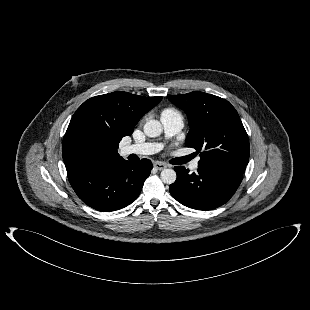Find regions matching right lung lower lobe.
<instances>
[{
  "instance_id": "right-lung-lower-lobe-1",
  "label": "right lung lower lobe",
  "mask_w": 310,
  "mask_h": 310,
  "mask_svg": "<svg viewBox=\"0 0 310 310\" xmlns=\"http://www.w3.org/2000/svg\"><path fill=\"white\" fill-rule=\"evenodd\" d=\"M152 162L142 159L104 161L67 172L78 197L99 211H115L131 204L150 175Z\"/></svg>"
}]
</instances>
